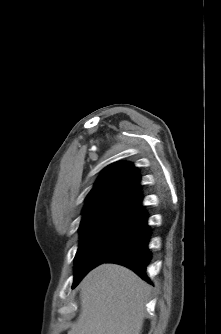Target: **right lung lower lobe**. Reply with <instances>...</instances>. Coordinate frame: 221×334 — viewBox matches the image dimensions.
I'll return each instance as SVG.
<instances>
[{
    "instance_id": "right-lung-lower-lobe-1",
    "label": "right lung lower lobe",
    "mask_w": 221,
    "mask_h": 334,
    "mask_svg": "<svg viewBox=\"0 0 221 334\" xmlns=\"http://www.w3.org/2000/svg\"><path fill=\"white\" fill-rule=\"evenodd\" d=\"M150 234L149 226L145 222L138 233L106 262L124 265L151 283L146 274L147 265L152 257L148 250Z\"/></svg>"
}]
</instances>
